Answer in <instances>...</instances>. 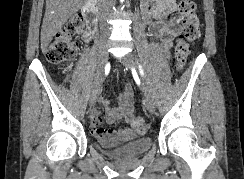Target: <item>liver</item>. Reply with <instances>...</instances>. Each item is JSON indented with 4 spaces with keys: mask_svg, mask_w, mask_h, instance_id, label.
<instances>
[{
    "mask_svg": "<svg viewBox=\"0 0 244 179\" xmlns=\"http://www.w3.org/2000/svg\"><path fill=\"white\" fill-rule=\"evenodd\" d=\"M86 0H46V10L41 30V50L47 48L55 34L61 30L70 16L76 14Z\"/></svg>",
    "mask_w": 244,
    "mask_h": 179,
    "instance_id": "6515ba94",
    "label": "liver"
}]
</instances>
